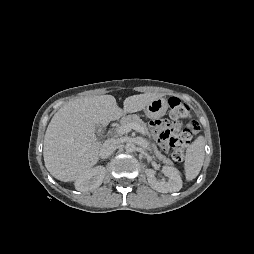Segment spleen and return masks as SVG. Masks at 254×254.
I'll return each instance as SVG.
<instances>
[{
  "mask_svg": "<svg viewBox=\"0 0 254 254\" xmlns=\"http://www.w3.org/2000/svg\"><path fill=\"white\" fill-rule=\"evenodd\" d=\"M205 144V138L198 136L186 150L184 169L187 181L196 178L202 168L205 156Z\"/></svg>",
  "mask_w": 254,
  "mask_h": 254,
  "instance_id": "3e777b00",
  "label": "spleen"
}]
</instances>
